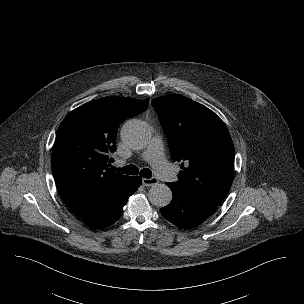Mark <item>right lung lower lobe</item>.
I'll return each instance as SVG.
<instances>
[{"label": "right lung lower lobe", "instance_id": "obj_1", "mask_svg": "<svg viewBox=\"0 0 304 304\" xmlns=\"http://www.w3.org/2000/svg\"><path fill=\"white\" fill-rule=\"evenodd\" d=\"M142 184L140 176L123 180L108 198L91 214L82 220L94 228H106L116 222L123 213V207L138 187Z\"/></svg>", "mask_w": 304, "mask_h": 304}]
</instances>
